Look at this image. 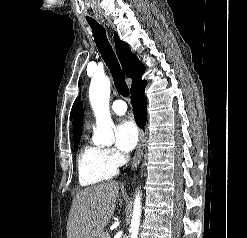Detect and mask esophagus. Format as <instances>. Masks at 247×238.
Wrapping results in <instances>:
<instances>
[{
	"instance_id": "esophagus-1",
	"label": "esophagus",
	"mask_w": 247,
	"mask_h": 238,
	"mask_svg": "<svg viewBox=\"0 0 247 238\" xmlns=\"http://www.w3.org/2000/svg\"><path fill=\"white\" fill-rule=\"evenodd\" d=\"M143 143H144V132H143V130L140 129V138H139L137 151H136L134 159H133L132 170L134 169V167H136V165L138 164V162L140 160L142 150H143Z\"/></svg>"
}]
</instances>
